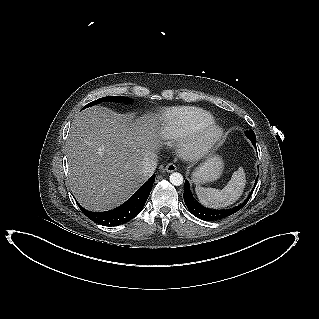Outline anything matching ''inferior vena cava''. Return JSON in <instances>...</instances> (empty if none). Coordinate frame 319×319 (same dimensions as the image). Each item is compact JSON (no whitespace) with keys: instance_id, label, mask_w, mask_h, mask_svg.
Here are the masks:
<instances>
[{"instance_id":"inferior-vena-cava-1","label":"inferior vena cava","mask_w":319,"mask_h":319,"mask_svg":"<svg viewBox=\"0 0 319 319\" xmlns=\"http://www.w3.org/2000/svg\"><path fill=\"white\" fill-rule=\"evenodd\" d=\"M157 155L155 153H150L141 162L142 171L145 174H153L157 167Z\"/></svg>"}]
</instances>
